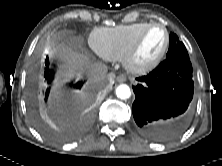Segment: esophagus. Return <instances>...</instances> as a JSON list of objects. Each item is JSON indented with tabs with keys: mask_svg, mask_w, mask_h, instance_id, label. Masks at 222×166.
Here are the masks:
<instances>
[{
	"mask_svg": "<svg viewBox=\"0 0 222 166\" xmlns=\"http://www.w3.org/2000/svg\"><path fill=\"white\" fill-rule=\"evenodd\" d=\"M116 81L119 82V83L125 82V81H126V76H124V75H118V76L116 77Z\"/></svg>",
	"mask_w": 222,
	"mask_h": 166,
	"instance_id": "1",
	"label": "esophagus"
}]
</instances>
